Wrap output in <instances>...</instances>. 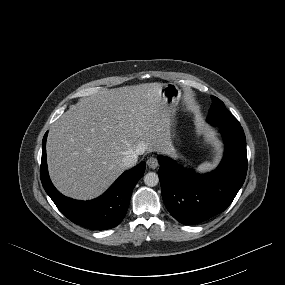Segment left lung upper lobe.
Here are the masks:
<instances>
[{
	"label": "left lung upper lobe",
	"instance_id": "5c2ea615",
	"mask_svg": "<svg viewBox=\"0 0 285 285\" xmlns=\"http://www.w3.org/2000/svg\"><path fill=\"white\" fill-rule=\"evenodd\" d=\"M207 121L212 125L238 126L240 123L226 109L224 103L212 96V105L209 109Z\"/></svg>",
	"mask_w": 285,
	"mask_h": 285
}]
</instances>
